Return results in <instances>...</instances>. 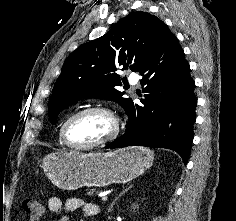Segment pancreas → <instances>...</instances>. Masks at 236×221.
Returning a JSON list of instances; mask_svg holds the SVG:
<instances>
[{
  "mask_svg": "<svg viewBox=\"0 0 236 221\" xmlns=\"http://www.w3.org/2000/svg\"><path fill=\"white\" fill-rule=\"evenodd\" d=\"M95 192H96L95 189H91V190L88 192V194H94Z\"/></svg>",
  "mask_w": 236,
  "mask_h": 221,
  "instance_id": "obj_1",
  "label": "pancreas"
}]
</instances>
